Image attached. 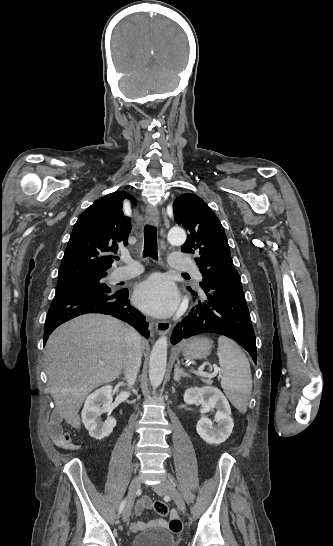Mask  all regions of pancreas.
I'll return each instance as SVG.
<instances>
[{"mask_svg": "<svg viewBox=\"0 0 333 546\" xmlns=\"http://www.w3.org/2000/svg\"><path fill=\"white\" fill-rule=\"evenodd\" d=\"M202 381L205 382V383H208V384L212 383V381H211L210 378H207V379H206V378H202Z\"/></svg>", "mask_w": 333, "mask_h": 546, "instance_id": "obj_1", "label": "pancreas"}]
</instances>
